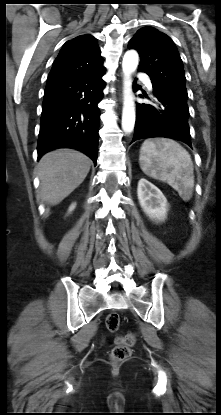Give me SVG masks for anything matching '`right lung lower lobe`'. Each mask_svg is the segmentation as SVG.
Wrapping results in <instances>:
<instances>
[{"mask_svg":"<svg viewBox=\"0 0 221 415\" xmlns=\"http://www.w3.org/2000/svg\"><path fill=\"white\" fill-rule=\"evenodd\" d=\"M104 70L65 80L47 82L42 104L38 159L56 148H74L96 164L98 127L103 97Z\"/></svg>","mask_w":221,"mask_h":415,"instance_id":"right-lung-lower-lobe-1","label":"right lung lower lobe"}]
</instances>
